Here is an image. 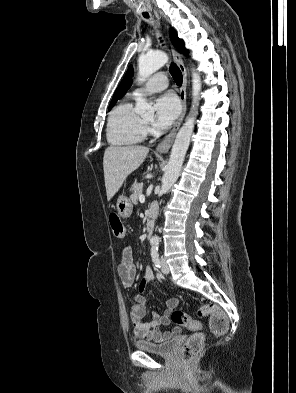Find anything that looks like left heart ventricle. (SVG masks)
Wrapping results in <instances>:
<instances>
[{
	"instance_id": "obj_1",
	"label": "left heart ventricle",
	"mask_w": 296,
	"mask_h": 393,
	"mask_svg": "<svg viewBox=\"0 0 296 393\" xmlns=\"http://www.w3.org/2000/svg\"><path fill=\"white\" fill-rule=\"evenodd\" d=\"M150 120H151V118H146V119H145V121H150Z\"/></svg>"
}]
</instances>
